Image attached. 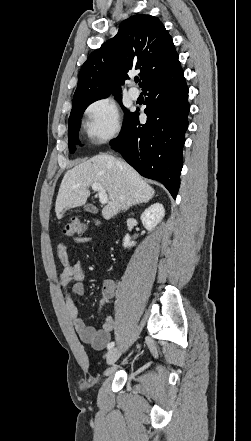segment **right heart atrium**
Instances as JSON below:
<instances>
[{
  "label": "right heart atrium",
  "instance_id": "d8ad5b80",
  "mask_svg": "<svg viewBox=\"0 0 251 441\" xmlns=\"http://www.w3.org/2000/svg\"><path fill=\"white\" fill-rule=\"evenodd\" d=\"M84 127L92 143H104L121 131L120 111L111 97L92 102L85 110Z\"/></svg>",
  "mask_w": 251,
  "mask_h": 441
}]
</instances>
